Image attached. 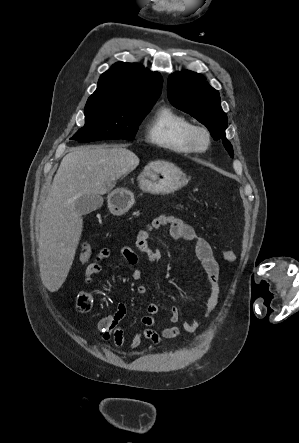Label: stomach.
<instances>
[{
	"mask_svg": "<svg viewBox=\"0 0 299 443\" xmlns=\"http://www.w3.org/2000/svg\"><path fill=\"white\" fill-rule=\"evenodd\" d=\"M139 187L152 194L175 192L187 182L185 174L171 163L154 162L148 164L138 176ZM132 192L117 188L108 195V207L114 215L127 212L134 204Z\"/></svg>",
	"mask_w": 299,
	"mask_h": 443,
	"instance_id": "stomach-1",
	"label": "stomach"
}]
</instances>
